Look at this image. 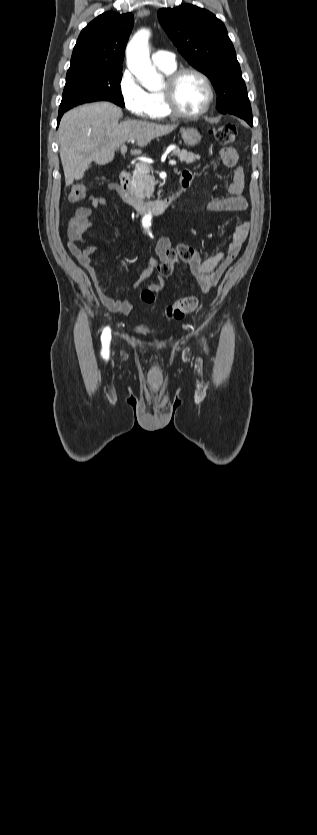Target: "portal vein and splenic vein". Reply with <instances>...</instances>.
<instances>
[{
  "mask_svg": "<svg viewBox=\"0 0 317 835\" xmlns=\"http://www.w3.org/2000/svg\"><path fill=\"white\" fill-rule=\"evenodd\" d=\"M131 141L134 142V140H131ZM173 148L174 147H172L171 149H173ZM126 151H127V147L125 145H122L121 146V154H125ZM176 164H177V162L175 160L169 161V165H171V166H175ZM146 168H147L146 165L143 164V163H137L136 164V169L139 170V171H144V170H146Z\"/></svg>",
  "mask_w": 317,
  "mask_h": 835,
  "instance_id": "obj_1",
  "label": "portal vein and splenic vein"
}]
</instances>
